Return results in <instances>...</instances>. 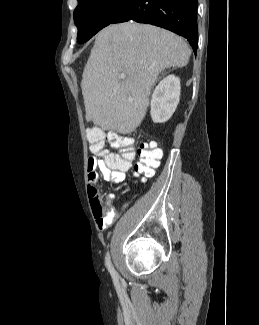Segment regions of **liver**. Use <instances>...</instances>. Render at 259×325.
Masks as SVG:
<instances>
[{"label": "liver", "instance_id": "obj_1", "mask_svg": "<svg viewBox=\"0 0 259 325\" xmlns=\"http://www.w3.org/2000/svg\"><path fill=\"white\" fill-rule=\"evenodd\" d=\"M190 55L184 39L153 25L131 21L104 28L82 75L86 120L131 134L145 117L159 73L186 66Z\"/></svg>", "mask_w": 259, "mask_h": 325}]
</instances>
